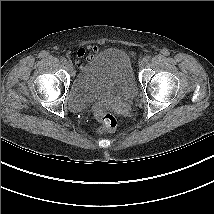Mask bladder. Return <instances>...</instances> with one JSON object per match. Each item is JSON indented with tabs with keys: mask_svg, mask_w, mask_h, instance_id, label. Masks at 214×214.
Masks as SVG:
<instances>
[{
	"mask_svg": "<svg viewBox=\"0 0 214 214\" xmlns=\"http://www.w3.org/2000/svg\"><path fill=\"white\" fill-rule=\"evenodd\" d=\"M137 85L128 56L119 49L102 51L73 79L68 92L71 108L82 107L97 99H131Z\"/></svg>",
	"mask_w": 214,
	"mask_h": 214,
	"instance_id": "1",
	"label": "bladder"
}]
</instances>
